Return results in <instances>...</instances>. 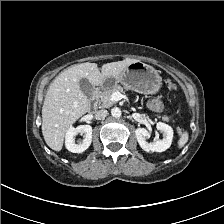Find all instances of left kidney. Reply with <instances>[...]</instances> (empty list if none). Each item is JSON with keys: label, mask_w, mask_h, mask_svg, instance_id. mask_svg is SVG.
<instances>
[{"label": "left kidney", "mask_w": 224, "mask_h": 224, "mask_svg": "<svg viewBox=\"0 0 224 224\" xmlns=\"http://www.w3.org/2000/svg\"><path fill=\"white\" fill-rule=\"evenodd\" d=\"M156 127L157 130L163 133V139L153 143H148L146 141V137L149 135L147 129L137 128L135 131V135L140 147L147 152H163L171 146L173 139L172 127L162 122L157 123Z\"/></svg>", "instance_id": "1"}]
</instances>
